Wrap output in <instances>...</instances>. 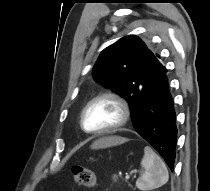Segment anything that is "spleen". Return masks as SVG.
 Returning a JSON list of instances; mask_svg holds the SVG:
<instances>
[{
  "label": "spleen",
  "instance_id": "obj_1",
  "mask_svg": "<svg viewBox=\"0 0 210 191\" xmlns=\"http://www.w3.org/2000/svg\"><path fill=\"white\" fill-rule=\"evenodd\" d=\"M141 166L144 171L136 181V187L139 190H153L168 182L169 174L166 164L149 146L144 148Z\"/></svg>",
  "mask_w": 210,
  "mask_h": 191
}]
</instances>
